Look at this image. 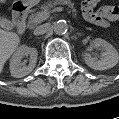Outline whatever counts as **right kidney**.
<instances>
[{
    "label": "right kidney",
    "instance_id": "1",
    "mask_svg": "<svg viewBox=\"0 0 119 119\" xmlns=\"http://www.w3.org/2000/svg\"><path fill=\"white\" fill-rule=\"evenodd\" d=\"M37 50L25 45L20 46L10 61V72L13 77L21 78L28 75L36 66ZM24 56H30L29 64L22 62Z\"/></svg>",
    "mask_w": 119,
    "mask_h": 119
}]
</instances>
